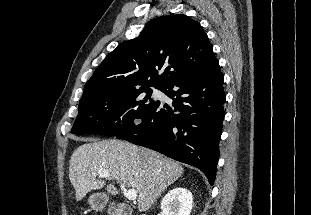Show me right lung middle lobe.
<instances>
[{"label": "right lung middle lobe", "mask_w": 311, "mask_h": 215, "mask_svg": "<svg viewBox=\"0 0 311 215\" xmlns=\"http://www.w3.org/2000/svg\"><path fill=\"white\" fill-rule=\"evenodd\" d=\"M162 91V88H157ZM152 89L143 87L108 92L81 100L73 134L97 133L116 136L132 129L160 104L151 97Z\"/></svg>", "instance_id": "dd1d6c3e"}]
</instances>
